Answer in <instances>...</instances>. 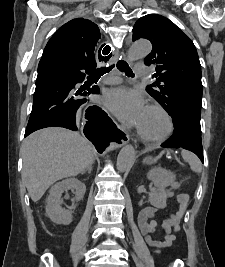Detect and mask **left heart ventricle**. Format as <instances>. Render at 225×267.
Returning a JSON list of instances; mask_svg holds the SVG:
<instances>
[{
    "mask_svg": "<svg viewBox=\"0 0 225 267\" xmlns=\"http://www.w3.org/2000/svg\"><path fill=\"white\" fill-rule=\"evenodd\" d=\"M138 128L150 138L162 136L168 128L165 116L155 109L146 108Z\"/></svg>",
    "mask_w": 225,
    "mask_h": 267,
    "instance_id": "b2bd125f",
    "label": "left heart ventricle"
}]
</instances>
